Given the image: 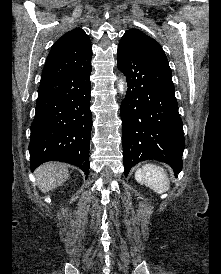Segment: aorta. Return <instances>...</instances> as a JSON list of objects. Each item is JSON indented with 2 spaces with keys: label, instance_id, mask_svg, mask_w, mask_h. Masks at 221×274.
<instances>
[{
  "label": "aorta",
  "instance_id": "obj_1",
  "mask_svg": "<svg viewBox=\"0 0 221 274\" xmlns=\"http://www.w3.org/2000/svg\"><path fill=\"white\" fill-rule=\"evenodd\" d=\"M118 87H119V91H120L121 93L124 92V82L120 81Z\"/></svg>",
  "mask_w": 221,
  "mask_h": 274
}]
</instances>
